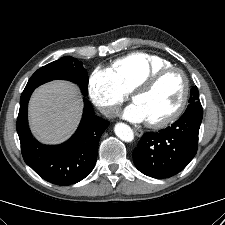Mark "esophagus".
Here are the masks:
<instances>
[{
  "label": "esophagus",
  "mask_w": 225,
  "mask_h": 225,
  "mask_svg": "<svg viewBox=\"0 0 225 225\" xmlns=\"http://www.w3.org/2000/svg\"><path fill=\"white\" fill-rule=\"evenodd\" d=\"M134 133L136 136L141 137L143 135V131L138 128H134Z\"/></svg>",
  "instance_id": "34e87169"
}]
</instances>
